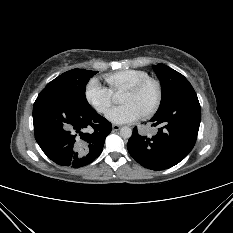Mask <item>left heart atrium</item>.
<instances>
[{
    "mask_svg": "<svg viewBox=\"0 0 233 233\" xmlns=\"http://www.w3.org/2000/svg\"><path fill=\"white\" fill-rule=\"evenodd\" d=\"M106 117L109 121L116 124L132 123L142 117L141 111L130 103L122 104L111 108Z\"/></svg>",
    "mask_w": 233,
    "mask_h": 233,
    "instance_id": "left-heart-atrium-1",
    "label": "left heart atrium"
}]
</instances>
